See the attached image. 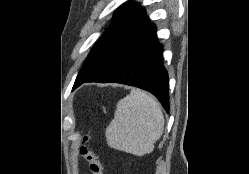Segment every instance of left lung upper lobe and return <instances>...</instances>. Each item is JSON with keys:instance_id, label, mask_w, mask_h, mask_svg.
Segmentation results:
<instances>
[{"instance_id": "left-lung-upper-lobe-1", "label": "left lung upper lobe", "mask_w": 249, "mask_h": 174, "mask_svg": "<svg viewBox=\"0 0 249 174\" xmlns=\"http://www.w3.org/2000/svg\"><path fill=\"white\" fill-rule=\"evenodd\" d=\"M145 11L130 2L114 14L112 24L96 42L80 70L78 78H89L104 67L121 46L149 24Z\"/></svg>"}]
</instances>
